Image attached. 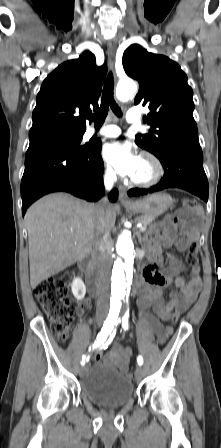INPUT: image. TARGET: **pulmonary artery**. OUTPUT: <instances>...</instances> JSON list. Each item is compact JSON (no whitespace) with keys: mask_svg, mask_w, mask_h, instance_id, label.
<instances>
[{"mask_svg":"<svg viewBox=\"0 0 221 448\" xmlns=\"http://www.w3.org/2000/svg\"><path fill=\"white\" fill-rule=\"evenodd\" d=\"M141 118V111L135 108H131L127 112L126 119L129 123H136ZM120 134V129L115 125H106L99 130L91 129L88 132V137H103V138H116Z\"/></svg>","mask_w":221,"mask_h":448,"instance_id":"obj_1","label":"pulmonary artery"}]
</instances>
